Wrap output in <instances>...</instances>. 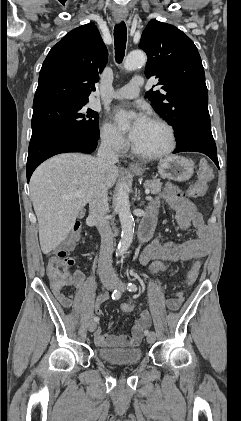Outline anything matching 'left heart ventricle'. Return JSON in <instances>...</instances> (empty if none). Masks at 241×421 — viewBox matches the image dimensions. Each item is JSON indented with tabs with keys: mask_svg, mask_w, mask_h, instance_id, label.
I'll list each match as a JSON object with an SVG mask.
<instances>
[{
	"mask_svg": "<svg viewBox=\"0 0 241 421\" xmlns=\"http://www.w3.org/2000/svg\"><path fill=\"white\" fill-rule=\"evenodd\" d=\"M133 143L141 151L158 152L167 146L168 134L161 125L148 121Z\"/></svg>",
	"mask_w": 241,
	"mask_h": 421,
	"instance_id": "b2bd125f",
	"label": "left heart ventricle"
}]
</instances>
